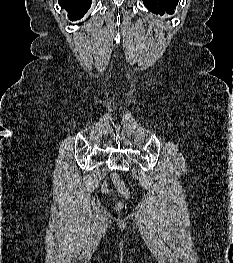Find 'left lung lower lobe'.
Instances as JSON below:
<instances>
[{
    "label": "left lung lower lobe",
    "instance_id": "0a47b994",
    "mask_svg": "<svg viewBox=\"0 0 233 263\" xmlns=\"http://www.w3.org/2000/svg\"><path fill=\"white\" fill-rule=\"evenodd\" d=\"M143 2L149 11L162 16L165 12L173 14L179 0H143Z\"/></svg>",
    "mask_w": 233,
    "mask_h": 263
}]
</instances>
